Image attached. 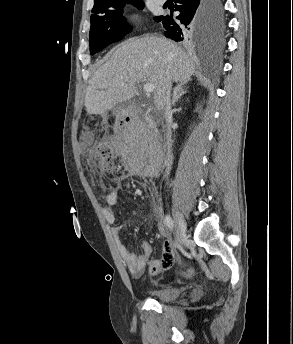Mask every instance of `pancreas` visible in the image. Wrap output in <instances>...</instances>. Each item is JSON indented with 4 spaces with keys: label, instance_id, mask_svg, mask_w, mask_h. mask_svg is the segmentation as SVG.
I'll list each match as a JSON object with an SVG mask.
<instances>
[{
    "label": "pancreas",
    "instance_id": "obj_1",
    "mask_svg": "<svg viewBox=\"0 0 293 344\" xmlns=\"http://www.w3.org/2000/svg\"><path fill=\"white\" fill-rule=\"evenodd\" d=\"M143 130L142 129H136V130H132V135L131 136H133V138H136V139H141L142 138V135H143Z\"/></svg>",
    "mask_w": 293,
    "mask_h": 344
}]
</instances>
